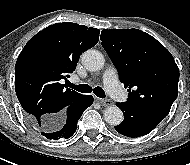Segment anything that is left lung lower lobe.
<instances>
[{
    "instance_id": "0a47b994",
    "label": "left lung lower lobe",
    "mask_w": 190,
    "mask_h": 165,
    "mask_svg": "<svg viewBox=\"0 0 190 165\" xmlns=\"http://www.w3.org/2000/svg\"><path fill=\"white\" fill-rule=\"evenodd\" d=\"M124 113V120L115 130L127 137H140L150 133L166 116V113L132 107L126 103L116 104Z\"/></svg>"
}]
</instances>
